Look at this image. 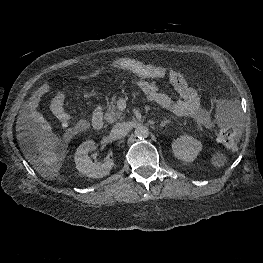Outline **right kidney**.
Returning <instances> with one entry per match:
<instances>
[{"label":"right kidney","instance_id":"ca27d5eb","mask_svg":"<svg viewBox=\"0 0 263 263\" xmlns=\"http://www.w3.org/2000/svg\"><path fill=\"white\" fill-rule=\"evenodd\" d=\"M96 149L95 142L88 140L83 142L76 150L74 160L77 170L89 178H102L109 174L114 166V161L107 158L104 163H93L88 153Z\"/></svg>","mask_w":263,"mask_h":263}]
</instances>
